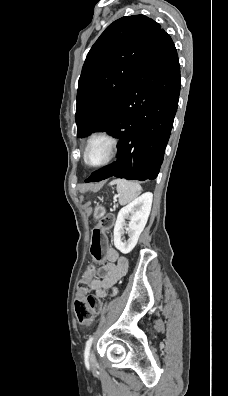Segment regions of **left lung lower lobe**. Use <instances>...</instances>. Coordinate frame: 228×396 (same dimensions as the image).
<instances>
[{"mask_svg": "<svg viewBox=\"0 0 228 396\" xmlns=\"http://www.w3.org/2000/svg\"><path fill=\"white\" fill-rule=\"evenodd\" d=\"M180 92V66L171 37L161 30L106 129L119 138L118 158L85 182L115 176L128 180L157 177L170 137Z\"/></svg>", "mask_w": 228, "mask_h": 396, "instance_id": "left-lung-lower-lobe-1", "label": "left lung lower lobe"}]
</instances>
